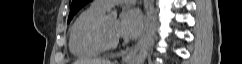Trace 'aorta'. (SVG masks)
<instances>
[{"label": "aorta", "instance_id": "aorta-1", "mask_svg": "<svg viewBox=\"0 0 242 64\" xmlns=\"http://www.w3.org/2000/svg\"><path fill=\"white\" fill-rule=\"evenodd\" d=\"M111 16L114 17V18H116L117 17V12L116 11H112L111 12Z\"/></svg>", "mask_w": 242, "mask_h": 64}]
</instances>
